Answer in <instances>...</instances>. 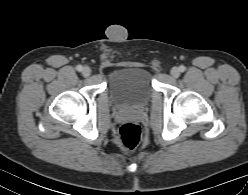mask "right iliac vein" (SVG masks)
Returning a JSON list of instances; mask_svg holds the SVG:
<instances>
[{"label": "right iliac vein", "instance_id": "right-iliac-vein-1", "mask_svg": "<svg viewBox=\"0 0 248 195\" xmlns=\"http://www.w3.org/2000/svg\"><path fill=\"white\" fill-rule=\"evenodd\" d=\"M82 74L85 76V77H88L91 75V69L89 67H84L83 70H82Z\"/></svg>", "mask_w": 248, "mask_h": 195}]
</instances>
